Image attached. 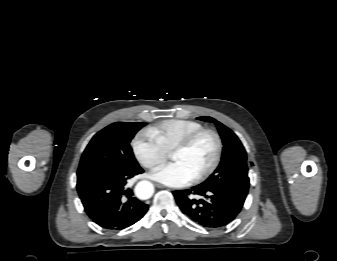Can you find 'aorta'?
<instances>
[{"mask_svg":"<svg viewBox=\"0 0 337 261\" xmlns=\"http://www.w3.org/2000/svg\"><path fill=\"white\" fill-rule=\"evenodd\" d=\"M153 192V184L146 180L138 182L135 187L136 196L143 200L149 199L153 195Z\"/></svg>","mask_w":337,"mask_h":261,"instance_id":"762f6f07","label":"aorta"}]
</instances>
